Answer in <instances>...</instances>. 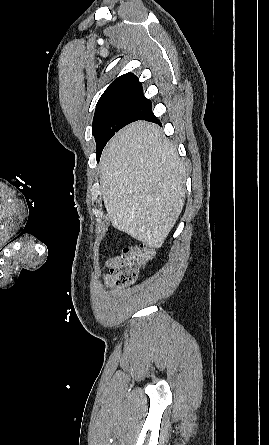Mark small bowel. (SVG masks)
Segmentation results:
<instances>
[{"label": "small bowel", "instance_id": "small-bowel-1", "mask_svg": "<svg viewBox=\"0 0 269 445\" xmlns=\"http://www.w3.org/2000/svg\"><path fill=\"white\" fill-rule=\"evenodd\" d=\"M119 257L111 258L106 261L104 265L105 270H112L118 263ZM103 286H106L108 288H113V280L109 273L103 274Z\"/></svg>", "mask_w": 269, "mask_h": 445}]
</instances>
